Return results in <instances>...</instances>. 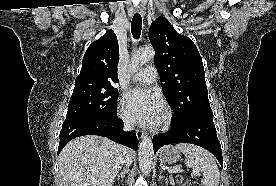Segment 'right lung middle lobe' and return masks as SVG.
<instances>
[{
	"mask_svg": "<svg viewBox=\"0 0 276 186\" xmlns=\"http://www.w3.org/2000/svg\"><path fill=\"white\" fill-rule=\"evenodd\" d=\"M118 90L112 86L74 88L66 119L77 116L108 117L117 110Z\"/></svg>",
	"mask_w": 276,
	"mask_h": 186,
	"instance_id": "obj_1",
	"label": "right lung middle lobe"
}]
</instances>
